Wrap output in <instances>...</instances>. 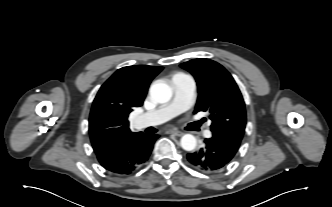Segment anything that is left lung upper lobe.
<instances>
[{"mask_svg":"<svg viewBox=\"0 0 332 207\" xmlns=\"http://www.w3.org/2000/svg\"><path fill=\"white\" fill-rule=\"evenodd\" d=\"M180 66L197 82L198 99L194 113L208 111L212 133L241 141L246 125L245 103L231 74L209 59H193Z\"/></svg>","mask_w":332,"mask_h":207,"instance_id":"obj_1","label":"left lung upper lobe"}]
</instances>
